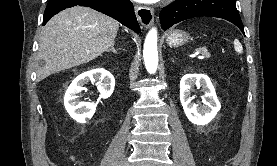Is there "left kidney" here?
Instances as JSON below:
<instances>
[{
	"mask_svg": "<svg viewBox=\"0 0 277 166\" xmlns=\"http://www.w3.org/2000/svg\"><path fill=\"white\" fill-rule=\"evenodd\" d=\"M202 87L204 92L203 105L192 102L191 90L194 86ZM180 101L184 112L195 125H206L220 110L221 105L217 99L214 86L209 77L204 74H186L180 81Z\"/></svg>",
	"mask_w": 277,
	"mask_h": 166,
	"instance_id": "1",
	"label": "left kidney"
}]
</instances>
